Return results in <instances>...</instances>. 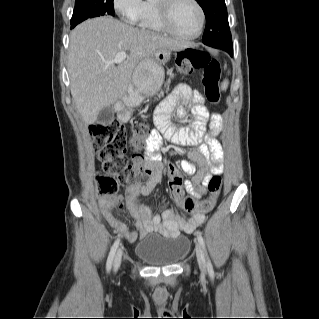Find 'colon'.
Instances as JSON below:
<instances>
[{
	"mask_svg": "<svg viewBox=\"0 0 319 319\" xmlns=\"http://www.w3.org/2000/svg\"><path fill=\"white\" fill-rule=\"evenodd\" d=\"M177 67L183 72L203 69L202 85L205 98L213 104L220 101L221 65L217 59L211 58L205 51L187 48L178 54ZM149 132V124L135 125L130 138L131 145L138 150L144 146L147 147ZM91 135L99 159L103 163L102 171L97 175L101 195L116 196L120 186H131L148 177L150 169L147 166L145 155L137 153L130 156L127 153L129 140L123 124L117 121L96 124L91 129ZM151 145L154 149L159 148L158 144ZM183 184H187V181L178 175L170 180L169 190L172 198L188 212L199 209L200 212L207 213L216 204L217 196L222 188V179L220 175H215L209 180L207 189L211 197L202 203L191 196H184L180 190ZM121 206V199L117 198L107 205V210L114 212Z\"/></svg>",
	"mask_w": 319,
	"mask_h": 319,
	"instance_id": "colon-1",
	"label": "colon"
}]
</instances>
